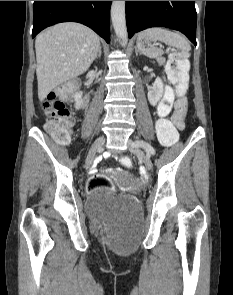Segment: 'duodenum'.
Returning a JSON list of instances; mask_svg holds the SVG:
<instances>
[{
	"label": "duodenum",
	"mask_w": 233,
	"mask_h": 295,
	"mask_svg": "<svg viewBox=\"0 0 233 295\" xmlns=\"http://www.w3.org/2000/svg\"><path fill=\"white\" fill-rule=\"evenodd\" d=\"M87 102V98L85 99V103Z\"/></svg>",
	"instance_id": "1"
}]
</instances>
